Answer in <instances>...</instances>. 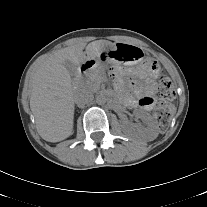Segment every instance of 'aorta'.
<instances>
[{"label": "aorta", "mask_w": 207, "mask_h": 207, "mask_svg": "<svg viewBox=\"0 0 207 207\" xmlns=\"http://www.w3.org/2000/svg\"><path fill=\"white\" fill-rule=\"evenodd\" d=\"M107 102V96L103 93H100L99 95H97L96 97V103L98 105H104Z\"/></svg>", "instance_id": "762f6f07"}]
</instances>
